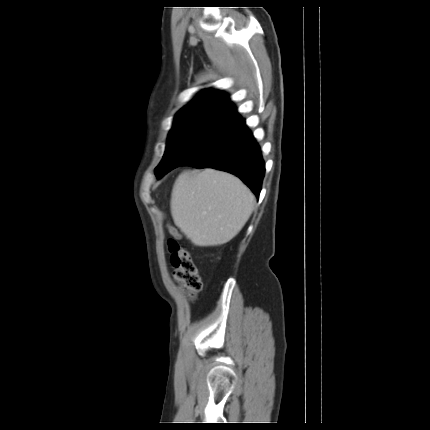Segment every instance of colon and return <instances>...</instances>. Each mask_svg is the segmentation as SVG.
I'll list each match as a JSON object with an SVG mask.
<instances>
[{"label": "colon", "instance_id": "5ec220e1", "mask_svg": "<svg viewBox=\"0 0 430 430\" xmlns=\"http://www.w3.org/2000/svg\"><path fill=\"white\" fill-rule=\"evenodd\" d=\"M170 231L175 238L168 239L166 246L173 267V277L195 297L202 289L201 278L190 252L179 243L177 230L172 228Z\"/></svg>", "mask_w": 430, "mask_h": 430}]
</instances>
